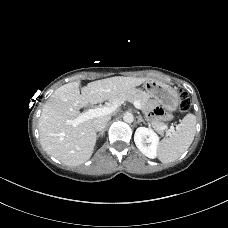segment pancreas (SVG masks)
<instances>
[{
    "label": "pancreas",
    "instance_id": "1",
    "mask_svg": "<svg viewBox=\"0 0 228 228\" xmlns=\"http://www.w3.org/2000/svg\"><path fill=\"white\" fill-rule=\"evenodd\" d=\"M149 96L144 91L139 89H133L128 92L121 93L116 99L115 102L122 103L124 101H128L133 103L134 101H138L141 104V109L145 112L148 108ZM159 134H163L164 131L167 130V125L159 122L153 121L150 124Z\"/></svg>",
    "mask_w": 228,
    "mask_h": 228
}]
</instances>
